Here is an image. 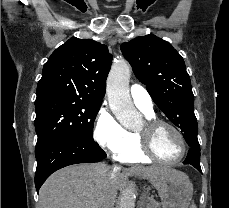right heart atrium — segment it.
<instances>
[{
	"label": "right heart atrium",
	"mask_w": 229,
	"mask_h": 208,
	"mask_svg": "<svg viewBox=\"0 0 229 208\" xmlns=\"http://www.w3.org/2000/svg\"><path fill=\"white\" fill-rule=\"evenodd\" d=\"M92 133L94 140L103 150L115 155H119L132 147L129 133L106 106H102L98 110Z\"/></svg>",
	"instance_id": "d8ad5b80"
}]
</instances>
